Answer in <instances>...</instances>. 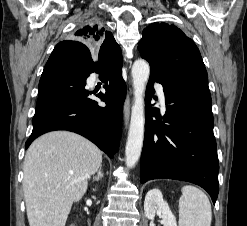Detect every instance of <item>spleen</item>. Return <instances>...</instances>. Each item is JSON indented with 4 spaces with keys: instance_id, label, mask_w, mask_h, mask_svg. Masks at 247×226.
Instances as JSON below:
<instances>
[{
    "instance_id": "3e777b00",
    "label": "spleen",
    "mask_w": 247,
    "mask_h": 226,
    "mask_svg": "<svg viewBox=\"0 0 247 226\" xmlns=\"http://www.w3.org/2000/svg\"><path fill=\"white\" fill-rule=\"evenodd\" d=\"M179 199V226H210L211 204L206 194L197 187H182Z\"/></svg>"
}]
</instances>
